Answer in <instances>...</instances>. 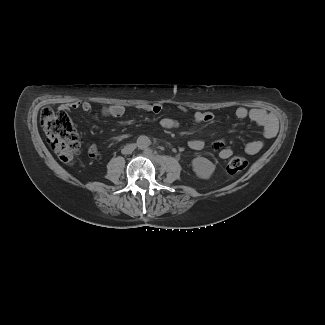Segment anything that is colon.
Wrapping results in <instances>:
<instances>
[{
	"label": "colon",
	"instance_id": "obj_1",
	"mask_svg": "<svg viewBox=\"0 0 325 325\" xmlns=\"http://www.w3.org/2000/svg\"><path fill=\"white\" fill-rule=\"evenodd\" d=\"M40 123L47 141L58 158L65 164H71L80 150V142L76 131L66 128L59 115L50 107L40 111ZM247 160L235 156L228 162L227 171L230 174L239 173L246 169Z\"/></svg>",
	"mask_w": 325,
	"mask_h": 325
}]
</instances>
